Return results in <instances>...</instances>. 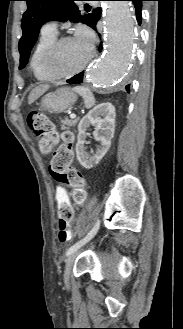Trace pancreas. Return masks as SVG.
Instances as JSON below:
<instances>
[{
	"label": "pancreas",
	"mask_w": 183,
	"mask_h": 329,
	"mask_svg": "<svg viewBox=\"0 0 183 329\" xmlns=\"http://www.w3.org/2000/svg\"><path fill=\"white\" fill-rule=\"evenodd\" d=\"M61 122H62L61 130H65V129H69L70 127L75 126L77 124L78 120L64 119Z\"/></svg>",
	"instance_id": "pancreas-1"
}]
</instances>
